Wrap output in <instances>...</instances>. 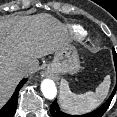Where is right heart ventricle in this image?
<instances>
[{
  "label": "right heart ventricle",
  "instance_id": "1",
  "mask_svg": "<svg viewBox=\"0 0 117 117\" xmlns=\"http://www.w3.org/2000/svg\"><path fill=\"white\" fill-rule=\"evenodd\" d=\"M73 32L77 37H80V38H82L86 35V32L79 26H75L73 28Z\"/></svg>",
  "mask_w": 117,
  "mask_h": 117
}]
</instances>
